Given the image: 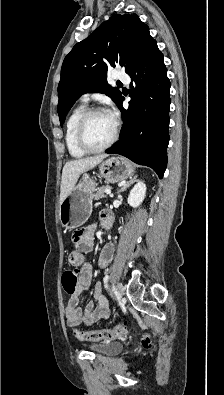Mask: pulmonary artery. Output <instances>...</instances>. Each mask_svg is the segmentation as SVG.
<instances>
[{
	"label": "pulmonary artery",
	"mask_w": 224,
	"mask_h": 395,
	"mask_svg": "<svg viewBox=\"0 0 224 395\" xmlns=\"http://www.w3.org/2000/svg\"><path fill=\"white\" fill-rule=\"evenodd\" d=\"M117 78L125 83H128L130 80L129 76L124 71H119ZM90 98H91V95L86 93V94L82 95L81 100L86 103L90 100Z\"/></svg>",
	"instance_id": "obj_1"
}]
</instances>
